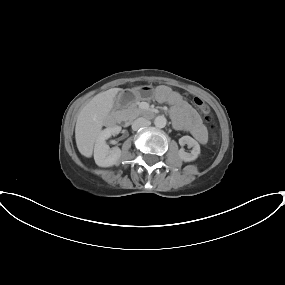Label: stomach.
<instances>
[{"label": "stomach", "mask_w": 285, "mask_h": 285, "mask_svg": "<svg viewBox=\"0 0 285 285\" xmlns=\"http://www.w3.org/2000/svg\"><path fill=\"white\" fill-rule=\"evenodd\" d=\"M130 100H150L153 97L152 86H139L130 91Z\"/></svg>", "instance_id": "0dacf381"}]
</instances>
